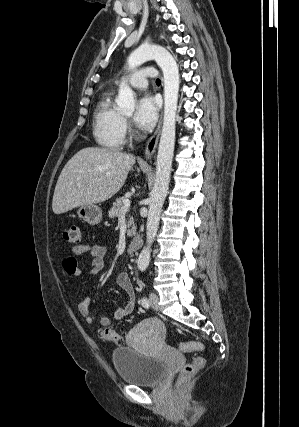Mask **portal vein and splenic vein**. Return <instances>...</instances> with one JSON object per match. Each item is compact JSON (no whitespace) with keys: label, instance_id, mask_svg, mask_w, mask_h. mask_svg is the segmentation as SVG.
<instances>
[{"label":"portal vein and splenic vein","instance_id":"portal-vein-and-splenic-vein-1","mask_svg":"<svg viewBox=\"0 0 299 427\" xmlns=\"http://www.w3.org/2000/svg\"><path fill=\"white\" fill-rule=\"evenodd\" d=\"M123 203H124V205L121 208L120 213H126L128 211V209H129V207H130V201L128 199H125L123 201Z\"/></svg>","mask_w":299,"mask_h":427}]
</instances>
